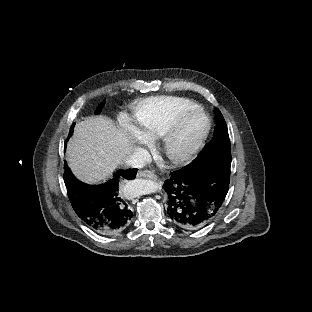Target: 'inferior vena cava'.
Wrapping results in <instances>:
<instances>
[{"instance_id": "inferior-vena-cava-1", "label": "inferior vena cava", "mask_w": 312, "mask_h": 312, "mask_svg": "<svg viewBox=\"0 0 312 312\" xmlns=\"http://www.w3.org/2000/svg\"><path fill=\"white\" fill-rule=\"evenodd\" d=\"M151 160L150 154L143 148H135L132 154H128L123 161V164L133 168H142Z\"/></svg>"}]
</instances>
